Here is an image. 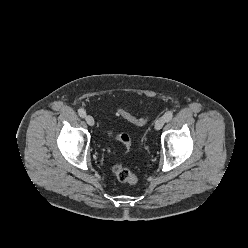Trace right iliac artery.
<instances>
[{"instance_id": "obj_1", "label": "right iliac artery", "mask_w": 248, "mask_h": 248, "mask_svg": "<svg viewBox=\"0 0 248 248\" xmlns=\"http://www.w3.org/2000/svg\"><path fill=\"white\" fill-rule=\"evenodd\" d=\"M78 114L80 117L84 118L86 116V111L81 108L78 110Z\"/></svg>"}]
</instances>
